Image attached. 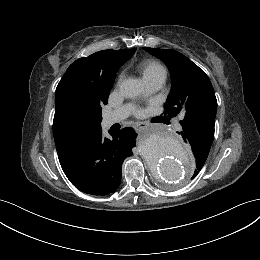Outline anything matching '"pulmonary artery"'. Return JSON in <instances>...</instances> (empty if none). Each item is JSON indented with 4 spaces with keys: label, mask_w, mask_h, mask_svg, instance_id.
Masks as SVG:
<instances>
[{
    "label": "pulmonary artery",
    "mask_w": 260,
    "mask_h": 260,
    "mask_svg": "<svg viewBox=\"0 0 260 260\" xmlns=\"http://www.w3.org/2000/svg\"><path fill=\"white\" fill-rule=\"evenodd\" d=\"M164 76L159 75L153 78H150L146 81V90L148 93H152L160 89L164 83ZM133 107L131 105H125L121 108H118L104 117V124L109 126L114 123L120 122L125 119L129 113L132 111ZM177 128L180 129L181 126L177 124Z\"/></svg>",
    "instance_id": "e3ab8cb5"
}]
</instances>
